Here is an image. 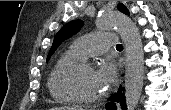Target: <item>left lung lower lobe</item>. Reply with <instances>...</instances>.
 I'll return each mask as SVG.
<instances>
[{"instance_id":"0a47b994","label":"left lung lower lobe","mask_w":171,"mask_h":110,"mask_svg":"<svg viewBox=\"0 0 171 110\" xmlns=\"http://www.w3.org/2000/svg\"><path fill=\"white\" fill-rule=\"evenodd\" d=\"M122 86L119 87L118 92L110 99V101L121 102L122 109L125 110V100L122 98Z\"/></svg>"}]
</instances>
